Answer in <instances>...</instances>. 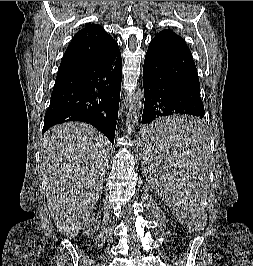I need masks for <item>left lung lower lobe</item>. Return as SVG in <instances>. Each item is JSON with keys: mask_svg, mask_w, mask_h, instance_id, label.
I'll use <instances>...</instances> for the list:
<instances>
[{"mask_svg": "<svg viewBox=\"0 0 253 266\" xmlns=\"http://www.w3.org/2000/svg\"><path fill=\"white\" fill-rule=\"evenodd\" d=\"M143 80L144 136L164 142L198 135L204 106L197 69L183 38L171 30H163L152 39L145 56ZM175 114L198 118L172 123L161 120Z\"/></svg>", "mask_w": 253, "mask_h": 266, "instance_id": "0a47b994", "label": "left lung lower lobe"}]
</instances>
